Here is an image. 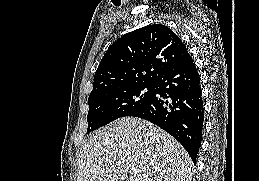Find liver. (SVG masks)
I'll return each mask as SVG.
<instances>
[{
    "mask_svg": "<svg viewBox=\"0 0 259 181\" xmlns=\"http://www.w3.org/2000/svg\"><path fill=\"white\" fill-rule=\"evenodd\" d=\"M193 162L171 135L132 117L98 130L82 145L77 181H191Z\"/></svg>",
    "mask_w": 259,
    "mask_h": 181,
    "instance_id": "6515ba94",
    "label": "liver"
}]
</instances>
